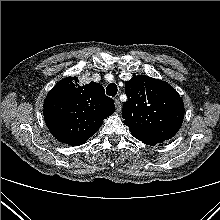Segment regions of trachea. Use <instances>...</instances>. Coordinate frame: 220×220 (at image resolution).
<instances>
[{"instance_id": "obj_1", "label": "trachea", "mask_w": 220, "mask_h": 220, "mask_svg": "<svg viewBox=\"0 0 220 220\" xmlns=\"http://www.w3.org/2000/svg\"><path fill=\"white\" fill-rule=\"evenodd\" d=\"M117 91L118 89L115 83H110L106 88L107 95L112 96V97L116 96Z\"/></svg>"}]
</instances>
